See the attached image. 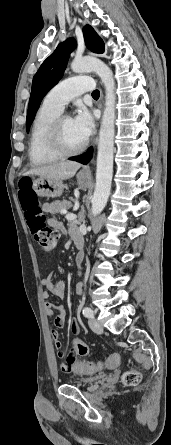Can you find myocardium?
Instances as JSON below:
<instances>
[{"instance_id":"obj_1","label":"myocardium","mask_w":171,"mask_h":445,"mask_svg":"<svg viewBox=\"0 0 171 445\" xmlns=\"http://www.w3.org/2000/svg\"><path fill=\"white\" fill-rule=\"evenodd\" d=\"M66 118H70L67 115L59 114L50 124L47 132V145L48 148L59 156H72L82 152L88 143L85 139L79 146L74 148L67 147L62 139V124Z\"/></svg>"}]
</instances>
